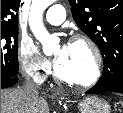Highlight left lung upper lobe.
Instances as JSON below:
<instances>
[{
  "instance_id": "left-lung-upper-lobe-1",
  "label": "left lung upper lobe",
  "mask_w": 123,
  "mask_h": 113,
  "mask_svg": "<svg viewBox=\"0 0 123 113\" xmlns=\"http://www.w3.org/2000/svg\"><path fill=\"white\" fill-rule=\"evenodd\" d=\"M79 28L100 48L104 72L99 82L123 77V0H69Z\"/></svg>"
}]
</instances>
